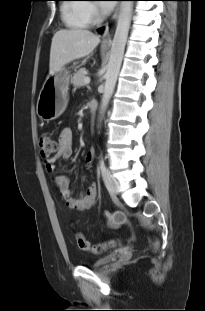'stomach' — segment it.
<instances>
[{"mask_svg": "<svg viewBox=\"0 0 205 311\" xmlns=\"http://www.w3.org/2000/svg\"><path fill=\"white\" fill-rule=\"evenodd\" d=\"M70 75L62 68L49 75L39 93L36 111L44 121L58 118L66 108Z\"/></svg>", "mask_w": 205, "mask_h": 311, "instance_id": "0dacf381", "label": "stomach"}]
</instances>
